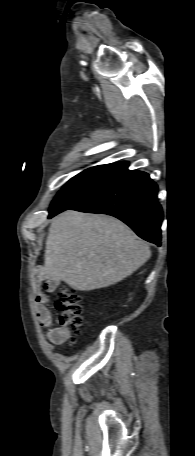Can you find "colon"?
<instances>
[{"instance_id": "5ec220e1", "label": "colon", "mask_w": 195, "mask_h": 456, "mask_svg": "<svg viewBox=\"0 0 195 456\" xmlns=\"http://www.w3.org/2000/svg\"><path fill=\"white\" fill-rule=\"evenodd\" d=\"M55 306L59 312L60 324L71 327L76 333L82 324L80 294L72 288L63 287Z\"/></svg>"}]
</instances>
